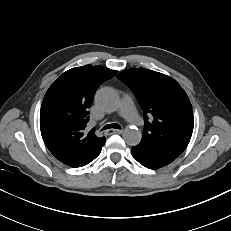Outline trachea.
I'll return each instance as SVG.
<instances>
[{
	"label": "trachea",
	"mask_w": 231,
	"mask_h": 231,
	"mask_svg": "<svg viewBox=\"0 0 231 231\" xmlns=\"http://www.w3.org/2000/svg\"><path fill=\"white\" fill-rule=\"evenodd\" d=\"M110 128H115V129H121L120 125L117 124V123H114V124H107L105 125L102 129V130H106V129H110Z\"/></svg>",
	"instance_id": "trachea-1"
}]
</instances>
